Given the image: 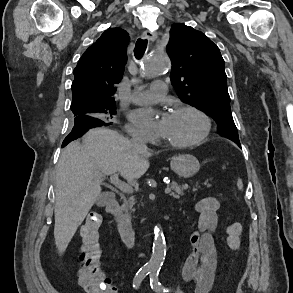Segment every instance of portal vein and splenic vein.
I'll return each mask as SVG.
<instances>
[{"mask_svg":"<svg viewBox=\"0 0 293 293\" xmlns=\"http://www.w3.org/2000/svg\"><path fill=\"white\" fill-rule=\"evenodd\" d=\"M100 178L103 179V178H105V176L100 175ZM109 181H110V183H112L114 186H116L118 189H120L121 191H123L125 193H132L133 192V188L129 184L121 181L116 174L110 175ZM164 192H165V194H168L171 192V189L169 187H167V188H165Z\"/></svg>","mask_w":293,"mask_h":293,"instance_id":"1","label":"portal vein and splenic vein"}]
</instances>
